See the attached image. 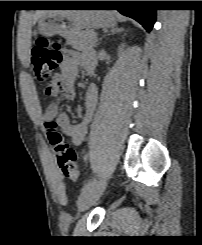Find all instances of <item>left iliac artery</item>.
<instances>
[{"instance_id":"44dca946","label":"left iliac artery","mask_w":202,"mask_h":245,"mask_svg":"<svg viewBox=\"0 0 202 245\" xmlns=\"http://www.w3.org/2000/svg\"><path fill=\"white\" fill-rule=\"evenodd\" d=\"M97 181L96 178H93L91 180H89L82 188V193H85L87 191H89L90 189H92L93 187H95Z\"/></svg>"}]
</instances>
